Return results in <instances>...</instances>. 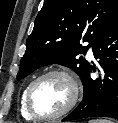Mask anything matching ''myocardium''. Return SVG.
<instances>
[{
  "mask_svg": "<svg viewBox=\"0 0 118 123\" xmlns=\"http://www.w3.org/2000/svg\"><path fill=\"white\" fill-rule=\"evenodd\" d=\"M50 76H61L67 80V82L71 86V98L68 102V104L57 114L50 115V116H43L39 115L32 104V96L35 88L37 85L42 82L44 79L50 77ZM80 95V84L77 76L67 70V69H62V68H57V69H52L49 70L40 76H38L35 80H33L28 87L27 93H26V108L28 113L33 117V119L38 120V121H53L62 118L65 116L67 113H69L74 106L76 105Z\"/></svg>",
  "mask_w": 118,
  "mask_h": 123,
  "instance_id": "myocardium-1",
  "label": "myocardium"
}]
</instances>
